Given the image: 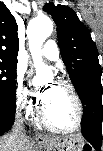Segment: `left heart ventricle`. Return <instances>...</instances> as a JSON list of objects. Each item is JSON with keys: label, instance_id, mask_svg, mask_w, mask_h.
<instances>
[{"label": "left heart ventricle", "instance_id": "1", "mask_svg": "<svg viewBox=\"0 0 103 151\" xmlns=\"http://www.w3.org/2000/svg\"><path fill=\"white\" fill-rule=\"evenodd\" d=\"M48 102L43 106L47 118L56 126L68 128L76 122V108L70 93L63 87L49 84Z\"/></svg>", "mask_w": 103, "mask_h": 151}]
</instances>
